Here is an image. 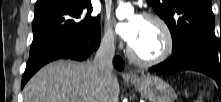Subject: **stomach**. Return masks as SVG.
Instances as JSON below:
<instances>
[{
	"instance_id": "0dacf381",
	"label": "stomach",
	"mask_w": 221,
	"mask_h": 102,
	"mask_svg": "<svg viewBox=\"0 0 221 102\" xmlns=\"http://www.w3.org/2000/svg\"><path fill=\"white\" fill-rule=\"evenodd\" d=\"M131 83L150 102H174L176 99L174 89L157 76H140L131 79Z\"/></svg>"
}]
</instances>
